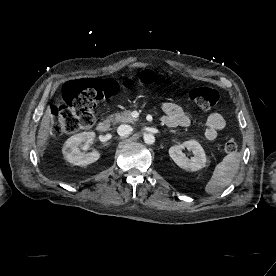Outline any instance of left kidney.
Segmentation results:
<instances>
[{"mask_svg":"<svg viewBox=\"0 0 276 276\" xmlns=\"http://www.w3.org/2000/svg\"><path fill=\"white\" fill-rule=\"evenodd\" d=\"M186 147L193 152L194 156L188 158L183 153ZM169 156L181 168L197 171L205 167L206 155L202 146L196 140L185 141L182 145H174L169 149Z\"/></svg>","mask_w":276,"mask_h":276,"instance_id":"obj_1","label":"left kidney"}]
</instances>
